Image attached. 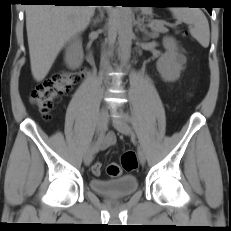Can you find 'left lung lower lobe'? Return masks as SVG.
<instances>
[{"instance_id":"left-lung-lower-lobe-1","label":"left lung lower lobe","mask_w":231,"mask_h":231,"mask_svg":"<svg viewBox=\"0 0 231 231\" xmlns=\"http://www.w3.org/2000/svg\"><path fill=\"white\" fill-rule=\"evenodd\" d=\"M150 2H154V1L151 0ZM206 9L208 10L210 14L212 13V7H206Z\"/></svg>"}]
</instances>
